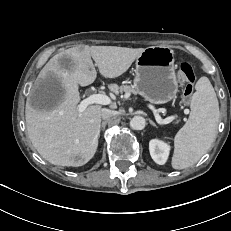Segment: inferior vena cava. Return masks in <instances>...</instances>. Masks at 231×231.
<instances>
[{"instance_id":"obj_1","label":"inferior vena cava","mask_w":231,"mask_h":231,"mask_svg":"<svg viewBox=\"0 0 231 231\" xmlns=\"http://www.w3.org/2000/svg\"><path fill=\"white\" fill-rule=\"evenodd\" d=\"M116 114L117 112L114 110L103 108L101 112V118L103 120H108L109 118H111L112 116H115Z\"/></svg>"}]
</instances>
